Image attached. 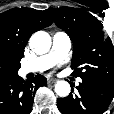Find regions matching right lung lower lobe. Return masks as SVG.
I'll list each match as a JSON object with an SVG mask.
<instances>
[{"label":"right lung lower lobe","instance_id":"98d812e1","mask_svg":"<svg viewBox=\"0 0 114 114\" xmlns=\"http://www.w3.org/2000/svg\"><path fill=\"white\" fill-rule=\"evenodd\" d=\"M45 85L46 78L39 74L27 81L15 74L0 82V114H29L36 90Z\"/></svg>","mask_w":114,"mask_h":114}]
</instances>
